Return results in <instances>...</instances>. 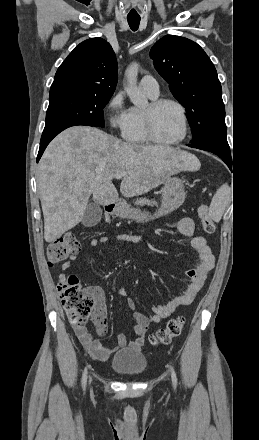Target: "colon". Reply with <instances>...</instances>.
I'll return each instance as SVG.
<instances>
[{"instance_id": "colon-1", "label": "colon", "mask_w": 259, "mask_h": 440, "mask_svg": "<svg viewBox=\"0 0 259 440\" xmlns=\"http://www.w3.org/2000/svg\"><path fill=\"white\" fill-rule=\"evenodd\" d=\"M198 214L204 231L212 234L215 231V225L210 217L208 206L202 204L198 209ZM80 250V241L73 234H64L49 245L47 249L48 264L51 266L58 264L77 254ZM57 289L70 323L74 327H85L91 311L95 307L92 288H82L77 276L70 275L58 284ZM183 325L184 319L182 317L170 320L165 328L159 329L150 336V343L152 345L169 344L181 333Z\"/></svg>"}]
</instances>
